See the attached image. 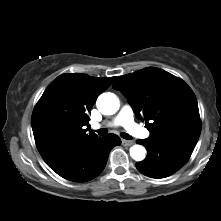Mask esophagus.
I'll use <instances>...</instances> for the list:
<instances>
[{
  "label": "esophagus",
  "mask_w": 221,
  "mask_h": 221,
  "mask_svg": "<svg viewBox=\"0 0 221 221\" xmlns=\"http://www.w3.org/2000/svg\"><path fill=\"white\" fill-rule=\"evenodd\" d=\"M122 144L124 145V146H131V145H133L134 144V142L133 141H130V140H122Z\"/></svg>",
  "instance_id": "34e87169"
}]
</instances>
